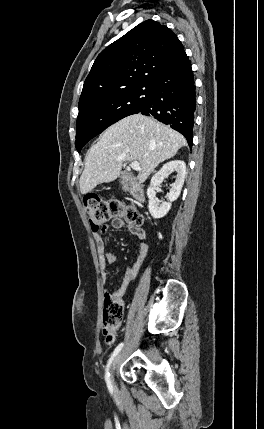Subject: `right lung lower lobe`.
<instances>
[{
    "label": "right lung lower lobe",
    "instance_id": "1",
    "mask_svg": "<svg viewBox=\"0 0 264 429\" xmlns=\"http://www.w3.org/2000/svg\"><path fill=\"white\" fill-rule=\"evenodd\" d=\"M196 93L191 63L184 53L154 83L150 99L139 113L155 117L193 142Z\"/></svg>",
    "mask_w": 264,
    "mask_h": 429
}]
</instances>
